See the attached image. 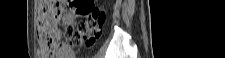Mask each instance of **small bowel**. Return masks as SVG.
<instances>
[{
  "label": "small bowel",
  "instance_id": "c3829d8e",
  "mask_svg": "<svg viewBox=\"0 0 225 58\" xmlns=\"http://www.w3.org/2000/svg\"><path fill=\"white\" fill-rule=\"evenodd\" d=\"M67 22L72 23L73 17L68 18ZM65 58H73V52L69 48H66Z\"/></svg>",
  "mask_w": 225,
  "mask_h": 58
}]
</instances>
